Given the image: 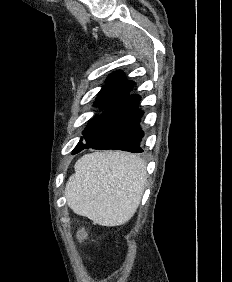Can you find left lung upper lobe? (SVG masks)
Instances as JSON below:
<instances>
[{
	"label": "left lung upper lobe",
	"instance_id": "1",
	"mask_svg": "<svg viewBox=\"0 0 232 282\" xmlns=\"http://www.w3.org/2000/svg\"><path fill=\"white\" fill-rule=\"evenodd\" d=\"M106 82L107 85L103 86L95 101L96 105H101L102 107H105L108 104L113 95L127 82V80L124 73L119 71L109 75ZM98 117L99 115L92 118L86 126V129L84 130V139L86 141L89 140L95 129ZM82 140L83 138L79 141V145L83 144Z\"/></svg>",
	"mask_w": 232,
	"mask_h": 282
}]
</instances>
